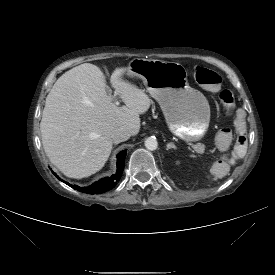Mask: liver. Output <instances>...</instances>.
I'll list each match as a JSON object with an SVG mask.
<instances>
[{"label": "liver", "instance_id": "obj_1", "mask_svg": "<svg viewBox=\"0 0 275 275\" xmlns=\"http://www.w3.org/2000/svg\"><path fill=\"white\" fill-rule=\"evenodd\" d=\"M126 68H116L111 81L125 103L118 106L108 94L103 72L84 63L65 72L46 98L40 123L42 144L50 160L65 176L84 178L99 171L113 146L111 134L126 128L139 133V115L151 99L136 85L122 79Z\"/></svg>", "mask_w": 275, "mask_h": 275}]
</instances>
